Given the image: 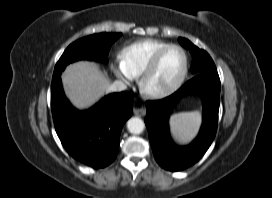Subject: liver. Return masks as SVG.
I'll return each mask as SVG.
<instances>
[{
    "label": "liver",
    "mask_w": 272,
    "mask_h": 198,
    "mask_svg": "<svg viewBox=\"0 0 272 198\" xmlns=\"http://www.w3.org/2000/svg\"><path fill=\"white\" fill-rule=\"evenodd\" d=\"M62 81L67 97L78 109L93 105L111 84L107 73L89 61H78L67 66Z\"/></svg>",
    "instance_id": "obj_1"
}]
</instances>
